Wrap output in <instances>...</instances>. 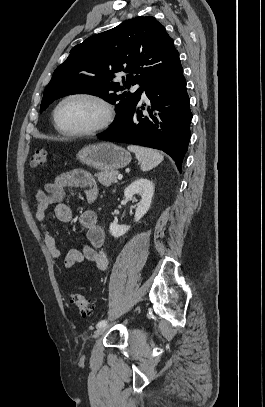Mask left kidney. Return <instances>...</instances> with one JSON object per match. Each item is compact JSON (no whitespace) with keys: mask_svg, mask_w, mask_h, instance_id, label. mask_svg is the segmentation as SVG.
Returning <instances> with one entry per match:
<instances>
[{"mask_svg":"<svg viewBox=\"0 0 265 407\" xmlns=\"http://www.w3.org/2000/svg\"><path fill=\"white\" fill-rule=\"evenodd\" d=\"M139 194L141 196L140 202L137 204L134 220L135 222L139 221L149 210L152 202V197L154 194L153 183L144 178H140L132 182L125 190L124 196L126 199L134 201L133 196ZM130 226L118 225L111 223L109 227V232L115 238L123 236Z\"/></svg>","mask_w":265,"mask_h":407,"instance_id":"1","label":"left kidney"}]
</instances>
